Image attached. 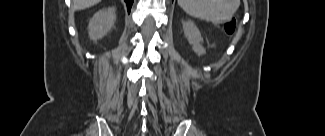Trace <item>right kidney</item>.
<instances>
[{"label": "right kidney", "mask_w": 325, "mask_h": 136, "mask_svg": "<svg viewBox=\"0 0 325 136\" xmlns=\"http://www.w3.org/2000/svg\"><path fill=\"white\" fill-rule=\"evenodd\" d=\"M115 12V7H109L94 14L88 25L90 39H101L111 30L116 20Z\"/></svg>", "instance_id": "right-kidney-1"}]
</instances>
